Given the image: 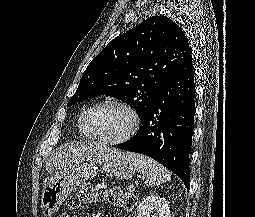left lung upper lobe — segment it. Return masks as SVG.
I'll return each mask as SVG.
<instances>
[{"instance_id":"obj_1","label":"left lung upper lobe","mask_w":255,"mask_h":217,"mask_svg":"<svg viewBox=\"0 0 255 217\" xmlns=\"http://www.w3.org/2000/svg\"><path fill=\"white\" fill-rule=\"evenodd\" d=\"M190 52L185 32L170 18H147L91 61L67 105L112 96L133 106L142 122L165 78Z\"/></svg>"}]
</instances>
